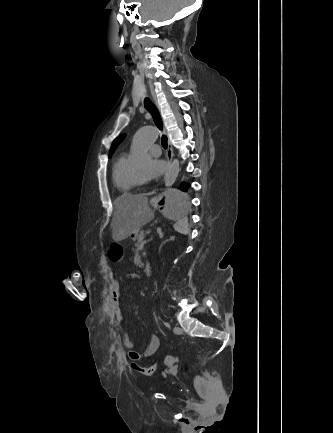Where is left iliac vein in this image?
I'll return each instance as SVG.
<instances>
[{"mask_svg":"<svg viewBox=\"0 0 333 433\" xmlns=\"http://www.w3.org/2000/svg\"><path fill=\"white\" fill-rule=\"evenodd\" d=\"M173 331H174L175 334H182V333H183L182 328H180V327H178V326H175V327L173 328Z\"/></svg>","mask_w":333,"mask_h":433,"instance_id":"obj_1","label":"left iliac vein"}]
</instances>
